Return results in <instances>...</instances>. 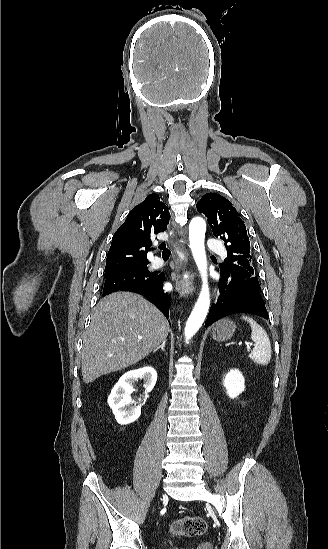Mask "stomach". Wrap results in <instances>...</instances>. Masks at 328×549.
Segmentation results:
<instances>
[{
  "label": "stomach",
  "instance_id": "stomach-1",
  "mask_svg": "<svg viewBox=\"0 0 328 549\" xmlns=\"http://www.w3.org/2000/svg\"><path fill=\"white\" fill-rule=\"evenodd\" d=\"M236 331V325L229 319H220L213 325L212 339L214 341H228L233 337Z\"/></svg>",
  "mask_w": 328,
  "mask_h": 549
}]
</instances>
